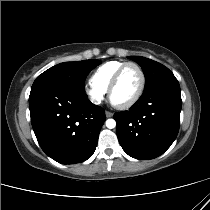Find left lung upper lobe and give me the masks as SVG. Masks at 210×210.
<instances>
[{
  "label": "left lung upper lobe",
  "mask_w": 210,
  "mask_h": 210,
  "mask_svg": "<svg viewBox=\"0 0 210 210\" xmlns=\"http://www.w3.org/2000/svg\"><path fill=\"white\" fill-rule=\"evenodd\" d=\"M128 58L141 66L146 78L145 89L161 80L175 77L167 67L156 61L141 56H129Z\"/></svg>",
  "instance_id": "obj_1"
}]
</instances>
